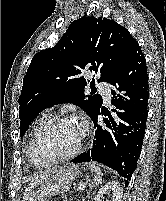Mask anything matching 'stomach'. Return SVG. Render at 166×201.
<instances>
[{
    "label": "stomach",
    "mask_w": 166,
    "mask_h": 201,
    "mask_svg": "<svg viewBox=\"0 0 166 201\" xmlns=\"http://www.w3.org/2000/svg\"><path fill=\"white\" fill-rule=\"evenodd\" d=\"M79 174L76 166H68L49 176L34 192L30 201H49L72 183Z\"/></svg>",
    "instance_id": "0dacf381"
}]
</instances>
